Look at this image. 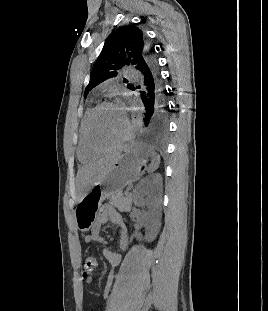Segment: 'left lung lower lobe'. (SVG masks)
<instances>
[{
	"instance_id": "left-lung-lower-lobe-1",
	"label": "left lung lower lobe",
	"mask_w": 268,
	"mask_h": 311,
	"mask_svg": "<svg viewBox=\"0 0 268 311\" xmlns=\"http://www.w3.org/2000/svg\"><path fill=\"white\" fill-rule=\"evenodd\" d=\"M138 71L141 74V97L145 105L142 121L136 133L137 141H167L168 107L164 101V90L157 59L147 53L145 60L139 63ZM137 88H140L138 86Z\"/></svg>"
}]
</instances>
